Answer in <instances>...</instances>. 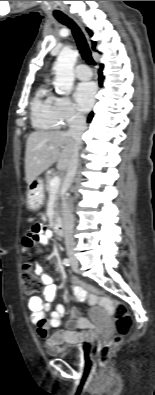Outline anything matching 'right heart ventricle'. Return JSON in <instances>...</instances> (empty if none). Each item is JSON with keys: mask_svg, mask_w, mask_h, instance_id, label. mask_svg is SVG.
<instances>
[{"mask_svg": "<svg viewBox=\"0 0 155 395\" xmlns=\"http://www.w3.org/2000/svg\"><path fill=\"white\" fill-rule=\"evenodd\" d=\"M55 96L47 86L42 84L36 90L31 102V120L34 127L42 130L57 129L54 115Z\"/></svg>", "mask_w": 155, "mask_h": 395, "instance_id": "1", "label": "right heart ventricle"}]
</instances>
